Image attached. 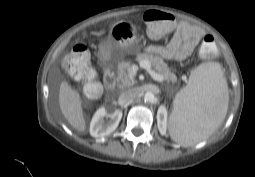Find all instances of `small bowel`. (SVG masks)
<instances>
[{
  "label": "small bowel",
  "mask_w": 255,
  "mask_h": 177,
  "mask_svg": "<svg viewBox=\"0 0 255 177\" xmlns=\"http://www.w3.org/2000/svg\"><path fill=\"white\" fill-rule=\"evenodd\" d=\"M204 31L197 26L181 22L166 45H151L146 51L164 59L181 61L188 58L202 42Z\"/></svg>",
  "instance_id": "1"
}]
</instances>
